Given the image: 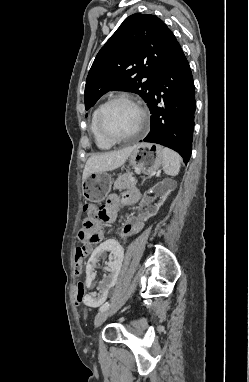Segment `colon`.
Here are the masks:
<instances>
[{
  "label": "colon",
  "mask_w": 249,
  "mask_h": 382,
  "mask_svg": "<svg viewBox=\"0 0 249 382\" xmlns=\"http://www.w3.org/2000/svg\"><path fill=\"white\" fill-rule=\"evenodd\" d=\"M83 212L87 216V218L95 220L99 219V217L102 214L101 208H99L94 203H86L83 206ZM86 251L83 248H80L78 252L76 253V265L74 270L75 276H80L83 272V263L81 262L83 257L85 256ZM85 295V286L83 283H79L77 286V292H76V300L81 301L83 296Z\"/></svg>",
  "instance_id": "5ec220e1"
}]
</instances>
